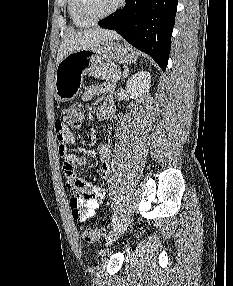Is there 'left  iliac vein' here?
<instances>
[{
  "label": "left iliac vein",
  "instance_id": "1",
  "mask_svg": "<svg viewBox=\"0 0 233 286\" xmlns=\"http://www.w3.org/2000/svg\"><path fill=\"white\" fill-rule=\"evenodd\" d=\"M129 224V217L123 215L112 227L111 231L107 236V245L116 241L127 229Z\"/></svg>",
  "mask_w": 233,
  "mask_h": 286
}]
</instances>
